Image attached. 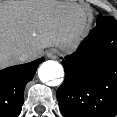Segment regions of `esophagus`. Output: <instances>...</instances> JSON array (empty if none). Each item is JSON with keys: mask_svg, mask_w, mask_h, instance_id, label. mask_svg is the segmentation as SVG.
<instances>
[{"mask_svg": "<svg viewBox=\"0 0 117 117\" xmlns=\"http://www.w3.org/2000/svg\"><path fill=\"white\" fill-rule=\"evenodd\" d=\"M47 57H48V58H50V59H53V58H55V57H56V53H55V52L50 51V52H48V53H47Z\"/></svg>", "mask_w": 117, "mask_h": 117, "instance_id": "1", "label": "esophagus"}]
</instances>
